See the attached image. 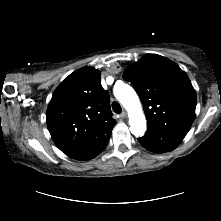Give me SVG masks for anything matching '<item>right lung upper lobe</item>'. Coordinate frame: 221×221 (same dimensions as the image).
Segmentation results:
<instances>
[{"label": "right lung upper lobe", "instance_id": "cb5924a9", "mask_svg": "<svg viewBox=\"0 0 221 221\" xmlns=\"http://www.w3.org/2000/svg\"><path fill=\"white\" fill-rule=\"evenodd\" d=\"M46 117L57 147L77 160L91 159L116 124L100 72L92 67L73 72L56 88Z\"/></svg>", "mask_w": 221, "mask_h": 221}]
</instances>
